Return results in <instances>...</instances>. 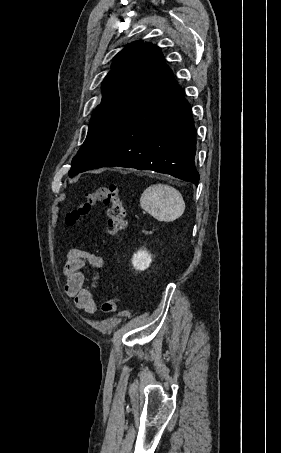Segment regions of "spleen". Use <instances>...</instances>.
<instances>
[{
  "mask_svg": "<svg viewBox=\"0 0 281 453\" xmlns=\"http://www.w3.org/2000/svg\"><path fill=\"white\" fill-rule=\"evenodd\" d=\"M140 204L146 212L158 220L171 222L185 210L181 192L169 184H152L140 196Z\"/></svg>",
  "mask_w": 281,
  "mask_h": 453,
  "instance_id": "3e777b00",
  "label": "spleen"
}]
</instances>
